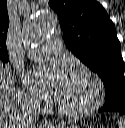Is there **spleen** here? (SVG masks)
<instances>
[{"mask_svg": "<svg viewBox=\"0 0 125 128\" xmlns=\"http://www.w3.org/2000/svg\"><path fill=\"white\" fill-rule=\"evenodd\" d=\"M119 128H125V118H121L119 120Z\"/></svg>", "mask_w": 125, "mask_h": 128, "instance_id": "spleen-1", "label": "spleen"}]
</instances>
